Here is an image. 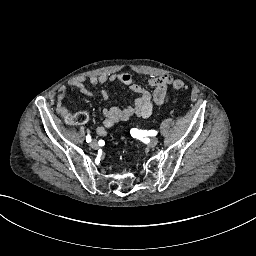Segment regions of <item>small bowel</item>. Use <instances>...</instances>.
Wrapping results in <instances>:
<instances>
[{
	"label": "small bowel",
	"instance_id": "c3829d8e",
	"mask_svg": "<svg viewBox=\"0 0 256 256\" xmlns=\"http://www.w3.org/2000/svg\"><path fill=\"white\" fill-rule=\"evenodd\" d=\"M173 78L170 75H162L151 78L149 85L153 88V93H150L144 86L134 80L132 75L128 72H121L116 74H101L91 75L89 77H77L70 81V85L77 88L85 95H93V92L86 87V82L91 85L100 86V97L104 100L109 98V91L106 88L108 83H122L126 85L130 91L138 94L132 106L124 108L111 107L103 111V122L96 127V133L100 137L108 135V129L113 127L119 121H126L133 116L141 118H149L153 112L154 106H161L167 102L169 98L168 87L171 85ZM67 88L61 86L57 92L56 110L62 116H67L68 110L65 106L64 100L66 97Z\"/></svg>",
	"mask_w": 256,
	"mask_h": 256
}]
</instances>
